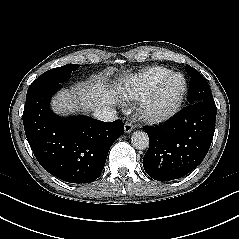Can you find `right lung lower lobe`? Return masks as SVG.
Here are the masks:
<instances>
[{"label":"right lung lower lobe","instance_id":"obj_1","mask_svg":"<svg viewBox=\"0 0 239 239\" xmlns=\"http://www.w3.org/2000/svg\"><path fill=\"white\" fill-rule=\"evenodd\" d=\"M62 85L27 92L23 124L28 143L42 167L70 183H90L102 172L109 149L123 133V122L85 116L62 118L49 101Z\"/></svg>","mask_w":239,"mask_h":239}]
</instances>
